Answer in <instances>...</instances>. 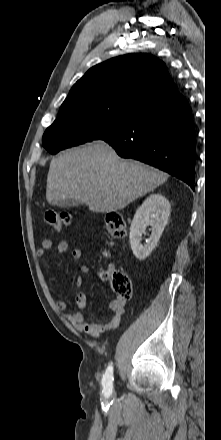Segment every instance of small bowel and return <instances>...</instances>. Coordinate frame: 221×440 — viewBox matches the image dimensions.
Returning <instances> with one entry per match:
<instances>
[{
    "instance_id": "1",
    "label": "small bowel",
    "mask_w": 221,
    "mask_h": 440,
    "mask_svg": "<svg viewBox=\"0 0 221 440\" xmlns=\"http://www.w3.org/2000/svg\"><path fill=\"white\" fill-rule=\"evenodd\" d=\"M54 246V242L50 239H46L42 243V247L37 250V256L39 258H45L48 255L49 250ZM69 249V244L66 241H59L56 244V250L58 253H65ZM83 253L80 249H73L71 251V257L75 261L82 259ZM90 269L86 265L80 267V275L75 280V286L80 287L83 284L84 276L89 273ZM76 305L79 311L74 313H66L65 318L70 322L75 329L78 331H85L88 335L93 338H98L100 335L108 330H111L118 326L121 317L124 313V307L126 304V299H121L116 297L109 304L108 312L113 314L110 321L106 323H97L93 321H87L83 313L87 306V296L83 292L77 293L75 297ZM56 306L61 311H66L68 309V304L63 299L56 300Z\"/></svg>"
}]
</instances>
